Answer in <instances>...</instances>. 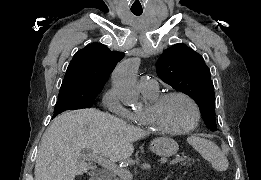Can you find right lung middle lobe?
I'll return each instance as SVG.
<instances>
[{
    "mask_svg": "<svg viewBox=\"0 0 261 180\" xmlns=\"http://www.w3.org/2000/svg\"><path fill=\"white\" fill-rule=\"evenodd\" d=\"M101 89L86 87L61 88L59 98L54 108V117L65 111L90 108Z\"/></svg>",
    "mask_w": 261,
    "mask_h": 180,
    "instance_id": "1",
    "label": "right lung middle lobe"
}]
</instances>
